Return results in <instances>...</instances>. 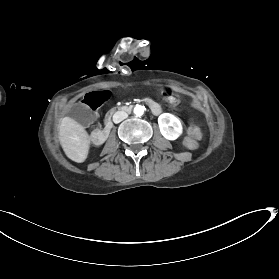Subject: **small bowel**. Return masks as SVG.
Instances as JSON below:
<instances>
[{
    "instance_id": "obj_1",
    "label": "small bowel",
    "mask_w": 279,
    "mask_h": 279,
    "mask_svg": "<svg viewBox=\"0 0 279 279\" xmlns=\"http://www.w3.org/2000/svg\"><path fill=\"white\" fill-rule=\"evenodd\" d=\"M163 95H164L165 100L167 102H169L171 105H177L178 104L179 97L176 93L165 91L163 93Z\"/></svg>"
}]
</instances>
